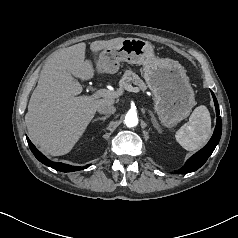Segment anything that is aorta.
Masks as SVG:
<instances>
[{
  "mask_svg": "<svg viewBox=\"0 0 238 238\" xmlns=\"http://www.w3.org/2000/svg\"><path fill=\"white\" fill-rule=\"evenodd\" d=\"M124 122H125L126 126L129 127V128L137 126V124H138L137 113L129 111L125 115Z\"/></svg>",
  "mask_w": 238,
  "mask_h": 238,
  "instance_id": "obj_1",
  "label": "aorta"
}]
</instances>
